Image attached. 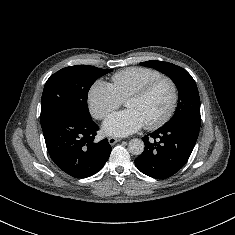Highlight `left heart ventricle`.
I'll return each mask as SVG.
<instances>
[{
    "instance_id": "1",
    "label": "left heart ventricle",
    "mask_w": 235,
    "mask_h": 235,
    "mask_svg": "<svg viewBox=\"0 0 235 235\" xmlns=\"http://www.w3.org/2000/svg\"><path fill=\"white\" fill-rule=\"evenodd\" d=\"M171 98L169 85L161 83L144 98L126 100L125 106L137 111L147 124L157 120L167 111Z\"/></svg>"
}]
</instances>
